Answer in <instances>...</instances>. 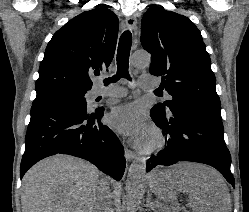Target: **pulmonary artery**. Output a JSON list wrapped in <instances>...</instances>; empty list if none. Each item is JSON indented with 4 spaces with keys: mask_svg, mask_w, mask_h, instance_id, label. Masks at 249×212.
I'll use <instances>...</instances> for the list:
<instances>
[{
    "mask_svg": "<svg viewBox=\"0 0 249 212\" xmlns=\"http://www.w3.org/2000/svg\"><path fill=\"white\" fill-rule=\"evenodd\" d=\"M144 76H141L140 79H142ZM104 79L105 77L103 76L97 78V82L94 84L92 90L90 91V96L92 99H95L98 96L122 97L126 95L127 90L125 88H121L113 84L105 86L103 83ZM156 86V83L144 84L140 82V87L142 89H153ZM166 97H170L168 93H166Z\"/></svg>",
    "mask_w": 249,
    "mask_h": 212,
    "instance_id": "e3ab8cb5",
    "label": "pulmonary artery"
}]
</instances>
